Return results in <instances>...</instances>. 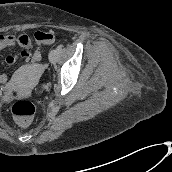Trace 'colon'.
Here are the masks:
<instances>
[{"label":"colon","instance_id":"colon-1","mask_svg":"<svg viewBox=\"0 0 172 172\" xmlns=\"http://www.w3.org/2000/svg\"><path fill=\"white\" fill-rule=\"evenodd\" d=\"M39 40L44 43H52L55 40V34L52 31H47ZM12 113L21 125L26 126L35 113V107L31 102L21 100L13 105Z\"/></svg>","mask_w":172,"mask_h":172}]
</instances>
